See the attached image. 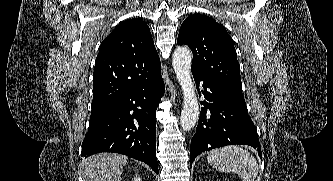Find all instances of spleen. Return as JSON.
Here are the masks:
<instances>
[{"label": "spleen", "instance_id": "obj_1", "mask_svg": "<svg viewBox=\"0 0 333 181\" xmlns=\"http://www.w3.org/2000/svg\"><path fill=\"white\" fill-rule=\"evenodd\" d=\"M207 161L221 172H235L242 181H256L259 171L256 158L236 145L212 150L207 156Z\"/></svg>", "mask_w": 333, "mask_h": 181}]
</instances>
